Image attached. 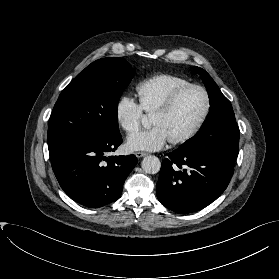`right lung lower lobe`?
I'll return each instance as SVG.
<instances>
[{
    "mask_svg": "<svg viewBox=\"0 0 279 279\" xmlns=\"http://www.w3.org/2000/svg\"><path fill=\"white\" fill-rule=\"evenodd\" d=\"M121 143V134L115 133L49 151L52 169L64 192L89 208L116 201L125 179L137 164L135 155L105 157Z\"/></svg>",
    "mask_w": 279,
    "mask_h": 279,
    "instance_id": "98d812e1",
    "label": "right lung lower lobe"
}]
</instances>
